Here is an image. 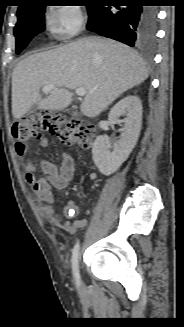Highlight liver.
Listing matches in <instances>:
<instances>
[{
	"mask_svg": "<svg viewBox=\"0 0 184 327\" xmlns=\"http://www.w3.org/2000/svg\"><path fill=\"white\" fill-rule=\"evenodd\" d=\"M149 72L140 55L117 41L84 37L55 49L29 55L12 75V114L23 117L39 110H62L72 102L71 89L84 88L81 112L96 117L125 91L141 84ZM53 84L45 97L40 89Z\"/></svg>",
	"mask_w": 184,
	"mask_h": 327,
	"instance_id": "liver-1",
	"label": "liver"
}]
</instances>
